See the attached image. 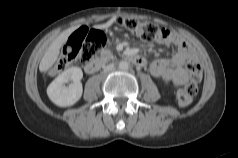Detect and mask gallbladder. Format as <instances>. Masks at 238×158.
I'll return each instance as SVG.
<instances>
[{
  "label": "gallbladder",
  "mask_w": 238,
  "mask_h": 158,
  "mask_svg": "<svg viewBox=\"0 0 238 158\" xmlns=\"http://www.w3.org/2000/svg\"><path fill=\"white\" fill-rule=\"evenodd\" d=\"M67 50H68V52H71L72 47H71L70 45H68V46H67Z\"/></svg>",
  "instance_id": "bac80fb5"
}]
</instances>
